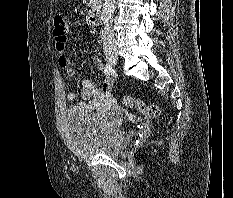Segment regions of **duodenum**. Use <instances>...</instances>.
<instances>
[{"label": "duodenum", "mask_w": 233, "mask_h": 198, "mask_svg": "<svg viewBox=\"0 0 233 198\" xmlns=\"http://www.w3.org/2000/svg\"><path fill=\"white\" fill-rule=\"evenodd\" d=\"M100 17H101L100 10L93 9L87 14L86 20H87V23L89 25L94 26V25H97L99 23Z\"/></svg>", "instance_id": "410a0bca"}]
</instances>
